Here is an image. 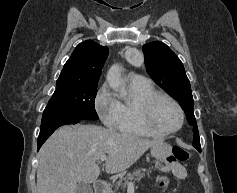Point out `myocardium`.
Here are the masks:
<instances>
[{"instance_id":"f54148a6","label":"myocardium","mask_w":237,"mask_h":193,"mask_svg":"<svg viewBox=\"0 0 237 193\" xmlns=\"http://www.w3.org/2000/svg\"><path fill=\"white\" fill-rule=\"evenodd\" d=\"M161 100L170 101L177 108L180 114V123L178 127L173 130L161 129L157 127L153 122L154 108L157 105V103ZM139 121L144 128L153 132L156 135H171L178 132L183 127L185 122V113L179 102L175 100L173 97L167 94L157 93L141 104L139 109Z\"/></svg>"}]
</instances>
